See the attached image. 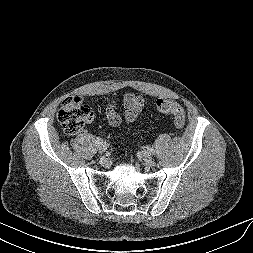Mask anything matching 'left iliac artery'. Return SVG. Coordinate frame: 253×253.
I'll return each mask as SVG.
<instances>
[{
    "instance_id": "1",
    "label": "left iliac artery",
    "mask_w": 253,
    "mask_h": 253,
    "mask_svg": "<svg viewBox=\"0 0 253 253\" xmlns=\"http://www.w3.org/2000/svg\"><path fill=\"white\" fill-rule=\"evenodd\" d=\"M147 150H148L149 152H152V153L154 152L153 147H148Z\"/></svg>"
}]
</instances>
